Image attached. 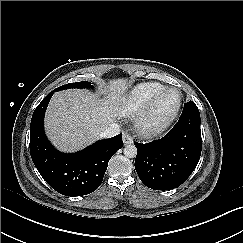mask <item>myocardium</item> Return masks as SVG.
Masks as SVG:
<instances>
[{"mask_svg":"<svg viewBox=\"0 0 243 243\" xmlns=\"http://www.w3.org/2000/svg\"><path fill=\"white\" fill-rule=\"evenodd\" d=\"M176 91L179 94V101L175 109L163 118L154 117L155 108L161 97L169 92ZM183 104V93L177 87H164L157 92L150 101L138 111L134 118L133 123L136 131L143 137H154L166 130L178 117Z\"/></svg>","mask_w":243,"mask_h":243,"instance_id":"1","label":"myocardium"}]
</instances>
